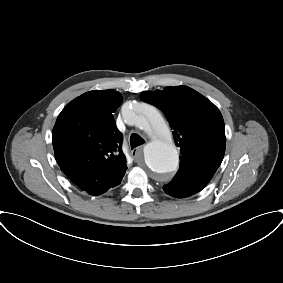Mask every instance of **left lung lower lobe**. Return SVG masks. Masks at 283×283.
<instances>
[{"label": "left lung lower lobe", "instance_id": "left-lung-lower-lobe-1", "mask_svg": "<svg viewBox=\"0 0 283 283\" xmlns=\"http://www.w3.org/2000/svg\"><path fill=\"white\" fill-rule=\"evenodd\" d=\"M204 188V186L193 184L190 182H187L183 179H177L175 183L168 184L164 186V191L177 198H183L191 196L199 191H201Z\"/></svg>", "mask_w": 283, "mask_h": 283}]
</instances>
